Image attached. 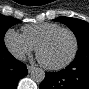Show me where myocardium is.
Here are the masks:
<instances>
[{"label": "myocardium", "mask_w": 89, "mask_h": 89, "mask_svg": "<svg viewBox=\"0 0 89 89\" xmlns=\"http://www.w3.org/2000/svg\"><path fill=\"white\" fill-rule=\"evenodd\" d=\"M68 32L71 37L73 38V42H74V46H73V50H72V53L71 55L65 60L63 61L62 63L60 64H56V65H51V64H48L46 62H44L42 59H41V56H40V51H41V48L57 33L59 32ZM78 38L75 34V32L73 30H71L70 28H67V27H59L49 33H47L40 41L39 43L37 44L36 46V56H37V59L38 61L45 67V68H48V69H51V70H60V69H63L65 67H67L68 65H70L73 60L75 59L76 55H77V52H78Z\"/></svg>", "instance_id": "1"}]
</instances>
